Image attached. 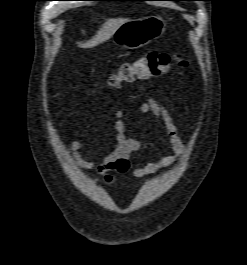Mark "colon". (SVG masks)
I'll return each mask as SVG.
<instances>
[{
  "instance_id": "obj_1",
  "label": "colon",
  "mask_w": 247,
  "mask_h": 265,
  "mask_svg": "<svg viewBox=\"0 0 247 265\" xmlns=\"http://www.w3.org/2000/svg\"><path fill=\"white\" fill-rule=\"evenodd\" d=\"M188 62L181 54L150 52L134 61L121 64L117 72L106 81L109 89H119L123 83L135 79H148L167 73L172 67H187Z\"/></svg>"
}]
</instances>
